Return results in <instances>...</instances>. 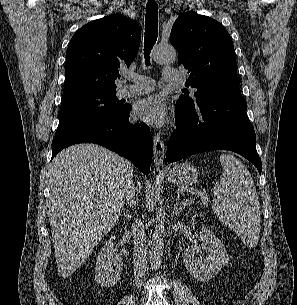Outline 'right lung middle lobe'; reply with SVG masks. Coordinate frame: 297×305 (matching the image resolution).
<instances>
[{"mask_svg": "<svg viewBox=\"0 0 297 305\" xmlns=\"http://www.w3.org/2000/svg\"><path fill=\"white\" fill-rule=\"evenodd\" d=\"M126 107L118 101L116 91L91 93L64 100L56 134L92 118L119 116Z\"/></svg>", "mask_w": 297, "mask_h": 305, "instance_id": "dd1d6c3e", "label": "right lung middle lobe"}]
</instances>
